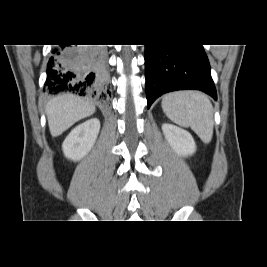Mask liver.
Listing matches in <instances>:
<instances>
[{
    "instance_id": "1",
    "label": "liver",
    "mask_w": 267,
    "mask_h": 267,
    "mask_svg": "<svg viewBox=\"0 0 267 267\" xmlns=\"http://www.w3.org/2000/svg\"><path fill=\"white\" fill-rule=\"evenodd\" d=\"M95 112L92 102L72 94H64L51 99L46 105V115L50 133L60 136L79 120Z\"/></svg>"
}]
</instances>
